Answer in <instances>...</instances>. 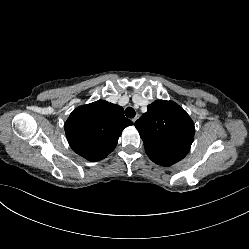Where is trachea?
<instances>
[{
  "label": "trachea",
  "instance_id": "3493384b",
  "mask_svg": "<svg viewBox=\"0 0 249 249\" xmlns=\"http://www.w3.org/2000/svg\"><path fill=\"white\" fill-rule=\"evenodd\" d=\"M135 110L132 108V107H127L126 110H125V115L128 117V118H133L135 116Z\"/></svg>",
  "mask_w": 249,
  "mask_h": 249
}]
</instances>
